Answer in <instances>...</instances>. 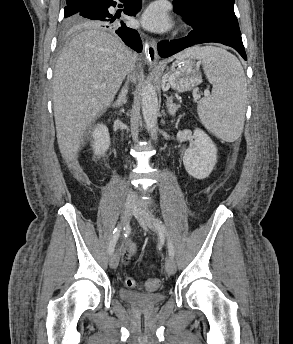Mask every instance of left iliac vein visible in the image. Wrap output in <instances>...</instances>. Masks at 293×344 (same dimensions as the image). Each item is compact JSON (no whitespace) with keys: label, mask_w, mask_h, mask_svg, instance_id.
Here are the masks:
<instances>
[{"label":"left iliac vein","mask_w":293,"mask_h":344,"mask_svg":"<svg viewBox=\"0 0 293 344\" xmlns=\"http://www.w3.org/2000/svg\"><path fill=\"white\" fill-rule=\"evenodd\" d=\"M134 216L145 230L154 229V215L148 209L137 207L134 210ZM165 270L169 275H174L176 273V264L172 257L167 258L165 262Z\"/></svg>","instance_id":"1"}]
</instances>
